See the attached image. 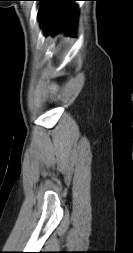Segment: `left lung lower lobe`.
<instances>
[{
  "instance_id": "1",
  "label": "left lung lower lobe",
  "mask_w": 133,
  "mask_h": 253,
  "mask_svg": "<svg viewBox=\"0 0 133 253\" xmlns=\"http://www.w3.org/2000/svg\"><path fill=\"white\" fill-rule=\"evenodd\" d=\"M40 1L39 15L46 35L65 31L74 35L78 9L75 1L79 0H28Z\"/></svg>"
}]
</instances>
